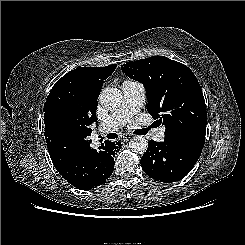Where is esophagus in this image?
<instances>
[{
	"label": "esophagus",
	"mask_w": 245,
	"mask_h": 245,
	"mask_svg": "<svg viewBox=\"0 0 245 245\" xmlns=\"http://www.w3.org/2000/svg\"><path fill=\"white\" fill-rule=\"evenodd\" d=\"M132 138V135L125 133L123 135L120 136V140H122L123 142H127Z\"/></svg>",
	"instance_id": "1"
}]
</instances>
